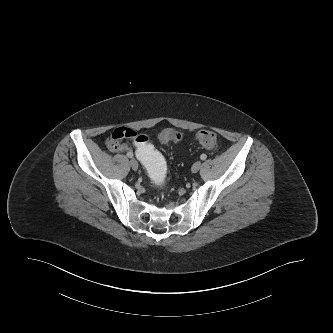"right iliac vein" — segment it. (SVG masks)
Wrapping results in <instances>:
<instances>
[{
    "mask_svg": "<svg viewBox=\"0 0 333 333\" xmlns=\"http://www.w3.org/2000/svg\"><path fill=\"white\" fill-rule=\"evenodd\" d=\"M130 166L133 170H137L138 169V162L135 159H131L130 160Z\"/></svg>",
    "mask_w": 333,
    "mask_h": 333,
    "instance_id": "63e3f726",
    "label": "right iliac vein"
}]
</instances>
